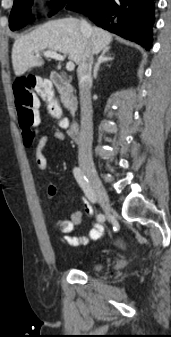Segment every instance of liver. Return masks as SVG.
Here are the masks:
<instances>
[{
  "label": "liver",
  "instance_id": "liver-1",
  "mask_svg": "<svg viewBox=\"0 0 171 337\" xmlns=\"http://www.w3.org/2000/svg\"><path fill=\"white\" fill-rule=\"evenodd\" d=\"M83 32L77 18L49 21L34 31L15 40L12 48V64L17 77L31 67H41L44 61L35 54L44 50L60 52L80 65L84 53L89 49L93 54L109 48L112 35L98 27Z\"/></svg>",
  "mask_w": 171,
  "mask_h": 337
}]
</instances>
